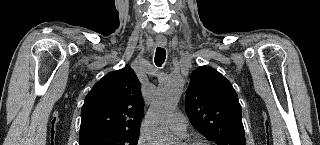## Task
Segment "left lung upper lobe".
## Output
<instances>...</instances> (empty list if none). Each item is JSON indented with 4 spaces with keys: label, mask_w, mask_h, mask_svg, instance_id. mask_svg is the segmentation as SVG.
I'll return each instance as SVG.
<instances>
[{
    "label": "left lung upper lobe",
    "mask_w": 320,
    "mask_h": 145,
    "mask_svg": "<svg viewBox=\"0 0 320 145\" xmlns=\"http://www.w3.org/2000/svg\"><path fill=\"white\" fill-rule=\"evenodd\" d=\"M185 108L193 127L216 145H246L237 94L212 67L201 66L192 73Z\"/></svg>",
    "instance_id": "left-lung-upper-lobe-1"
}]
</instances>
